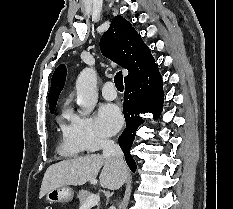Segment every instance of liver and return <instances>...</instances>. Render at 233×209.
<instances>
[{
    "label": "liver",
    "mask_w": 233,
    "mask_h": 209,
    "mask_svg": "<svg viewBox=\"0 0 233 209\" xmlns=\"http://www.w3.org/2000/svg\"><path fill=\"white\" fill-rule=\"evenodd\" d=\"M102 167L100 185L110 190L119 189L127 176L126 165L121 166L114 159L105 158L100 154H91L49 166L42 180L39 198L55 188L80 186L88 181H94Z\"/></svg>",
    "instance_id": "obj_1"
}]
</instances>
